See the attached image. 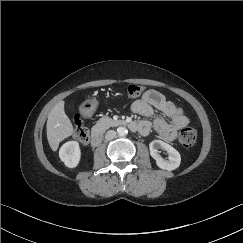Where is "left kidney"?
I'll list each match as a JSON object with an SVG mask.
<instances>
[{
	"label": "left kidney",
	"instance_id": "5707ae66",
	"mask_svg": "<svg viewBox=\"0 0 243 243\" xmlns=\"http://www.w3.org/2000/svg\"><path fill=\"white\" fill-rule=\"evenodd\" d=\"M150 155L155 159L156 164L159 168L164 170H175L180 166L181 156L179 152L173 148L171 145L161 141V140H153L149 144ZM158 149H163L167 151L169 154L168 160H164L160 154Z\"/></svg>",
	"mask_w": 243,
	"mask_h": 243
}]
</instances>
